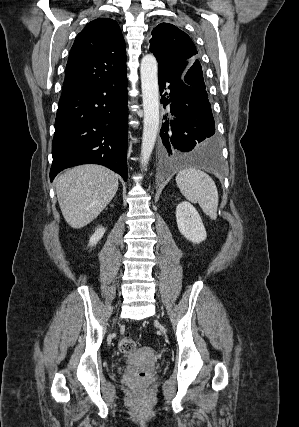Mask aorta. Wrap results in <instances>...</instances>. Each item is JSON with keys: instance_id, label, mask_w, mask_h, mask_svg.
<instances>
[{"instance_id": "762f6f07", "label": "aorta", "mask_w": 299, "mask_h": 427, "mask_svg": "<svg viewBox=\"0 0 299 427\" xmlns=\"http://www.w3.org/2000/svg\"><path fill=\"white\" fill-rule=\"evenodd\" d=\"M140 72L144 110L141 165L145 169L152 154L159 129L157 61L152 54L142 58Z\"/></svg>"}]
</instances>
